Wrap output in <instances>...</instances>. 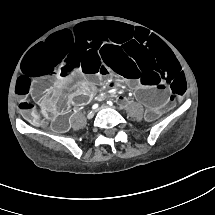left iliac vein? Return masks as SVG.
I'll return each mask as SVG.
<instances>
[{"label": "left iliac vein", "instance_id": "4c4485c4", "mask_svg": "<svg viewBox=\"0 0 215 215\" xmlns=\"http://www.w3.org/2000/svg\"><path fill=\"white\" fill-rule=\"evenodd\" d=\"M104 108H108V107H107V106H102V107H101V109H104ZM98 110H99V109H98ZM98 110H97V111H98Z\"/></svg>", "mask_w": 215, "mask_h": 215}]
</instances>
